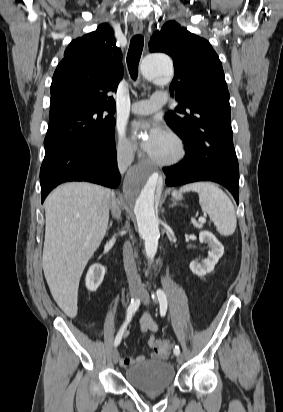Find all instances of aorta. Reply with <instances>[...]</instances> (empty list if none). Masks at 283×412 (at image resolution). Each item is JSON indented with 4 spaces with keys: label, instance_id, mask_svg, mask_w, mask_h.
<instances>
[{
    "label": "aorta",
    "instance_id": "1",
    "mask_svg": "<svg viewBox=\"0 0 283 412\" xmlns=\"http://www.w3.org/2000/svg\"><path fill=\"white\" fill-rule=\"evenodd\" d=\"M142 76L156 84L167 82L173 75L171 59L162 54L146 57L141 65ZM159 182L157 172L138 169L130 173L124 183L126 196L134 202L139 234L144 239L146 256L153 260L160 232L154 209L155 190Z\"/></svg>",
    "mask_w": 283,
    "mask_h": 412
}]
</instances>
